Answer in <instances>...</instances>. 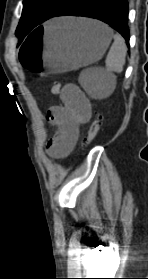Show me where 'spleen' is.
Here are the masks:
<instances>
[{
    "label": "spleen",
    "mask_w": 148,
    "mask_h": 279,
    "mask_svg": "<svg viewBox=\"0 0 148 279\" xmlns=\"http://www.w3.org/2000/svg\"><path fill=\"white\" fill-rule=\"evenodd\" d=\"M113 38L114 42L107 54L105 63L109 73H120L122 72L126 61L127 46L121 35L115 34ZM88 73V70L83 71L80 75L79 82L93 98H104L109 96L114 91V82H106L101 79H88Z\"/></svg>",
    "instance_id": "3e777b00"
}]
</instances>
